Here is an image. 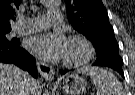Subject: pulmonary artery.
<instances>
[{
    "label": "pulmonary artery",
    "mask_w": 135,
    "mask_h": 95,
    "mask_svg": "<svg viewBox=\"0 0 135 95\" xmlns=\"http://www.w3.org/2000/svg\"><path fill=\"white\" fill-rule=\"evenodd\" d=\"M26 24L20 21L12 27L11 33L25 34L37 32L46 28L49 24H59L61 22V15L57 9L50 10L46 15L29 18L25 20Z\"/></svg>",
    "instance_id": "e3ab8cb5"
}]
</instances>
